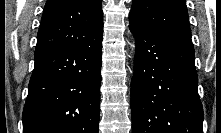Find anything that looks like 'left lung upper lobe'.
Returning a JSON list of instances; mask_svg holds the SVG:
<instances>
[{
  "label": "left lung upper lobe",
  "mask_w": 221,
  "mask_h": 133,
  "mask_svg": "<svg viewBox=\"0 0 221 133\" xmlns=\"http://www.w3.org/2000/svg\"><path fill=\"white\" fill-rule=\"evenodd\" d=\"M129 22L131 27L138 30L191 40L185 0H133Z\"/></svg>",
  "instance_id": "1"
}]
</instances>
